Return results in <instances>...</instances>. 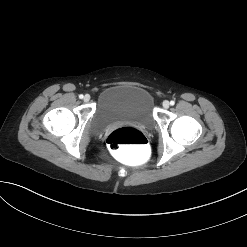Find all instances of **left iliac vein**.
I'll return each mask as SVG.
<instances>
[{
  "label": "left iliac vein",
  "instance_id": "left-iliac-vein-1",
  "mask_svg": "<svg viewBox=\"0 0 247 247\" xmlns=\"http://www.w3.org/2000/svg\"><path fill=\"white\" fill-rule=\"evenodd\" d=\"M169 105H170L169 101H167V100L163 101V107L165 109L169 108Z\"/></svg>",
  "mask_w": 247,
  "mask_h": 247
}]
</instances>
